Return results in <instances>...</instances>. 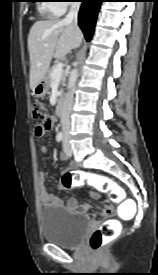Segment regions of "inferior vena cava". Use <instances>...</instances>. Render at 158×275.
Instances as JSON below:
<instances>
[{"label":"inferior vena cava","mask_w":158,"mask_h":275,"mask_svg":"<svg viewBox=\"0 0 158 275\" xmlns=\"http://www.w3.org/2000/svg\"><path fill=\"white\" fill-rule=\"evenodd\" d=\"M80 8L79 2H73L69 13L66 15L63 20L64 23L72 24L74 27H77V17ZM73 106V91H69L66 95L64 103L61 108V126L62 132L65 137L69 136L70 133V115Z\"/></svg>","instance_id":"602c4592"}]
</instances>
